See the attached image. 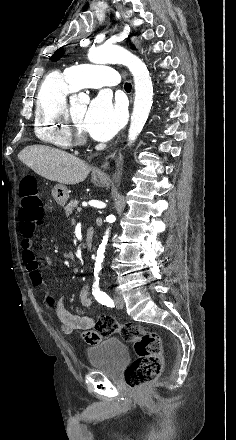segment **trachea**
Listing matches in <instances>:
<instances>
[{"instance_id": "3493384b", "label": "trachea", "mask_w": 236, "mask_h": 440, "mask_svg": "<svg viewBox=\"0 0 236 440\" xmlns=\"http://www.w3.org/2000/svg\"><path fill=\"white\" fill-rule=\"evenodd\" d=\"M132 85L130 83H125V90H131Z\"/></svg>"}]
</instances>
